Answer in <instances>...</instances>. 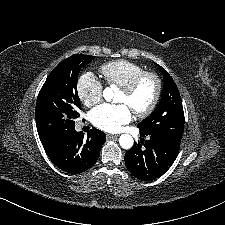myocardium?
Returning <instances> with one entry per match:
<instances>
[{
  "label": "myocardium",
  "mask_w": 225,
  "mask_h": 225,
  "mask_svg": "<svg viewBox=\"0 0 225 225\" xmlns=\"http://www.w3.org/2000/svg\"><path fill=\"white\" fill-rule=\"evenodd\" d=\"M146 78H150L154 81L155 91H154V95H153L151 102L145 109L133 112L134 115L138 118L147 117L157 107L160 97H161V93H162V81H161L160 77L154 72L143 71L140 74L133 77L126 85L121 87V91L124 92L125 94L129 95V94L133 93L135 91V89L137 88V86Z\"/></svg>",
  "instance_id": "obj_1"
}]
</instances>
